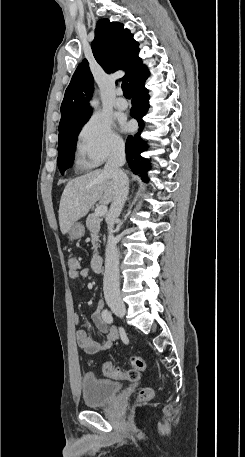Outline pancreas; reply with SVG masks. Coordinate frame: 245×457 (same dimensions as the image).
<instances>
[{
  "label": "pancreas",
  "mask_w": 245,
  "mask_h": 457,
  "mask_svg": "<svg viewBox=\"0 0 245 457\" xmlns=\"http://www.w3.org/2000/svg\"><path fill=\"white\" fill-rule=\"evenodd\" d=\"M102 218H99V216H96V214H88L86 218V226L88 231H90L91 235V243L93 245L92 249H94V255H98V233L100 231V222Z\"/></svg>",
  "instance_id": "pancreas-1"
}]
</instances>
